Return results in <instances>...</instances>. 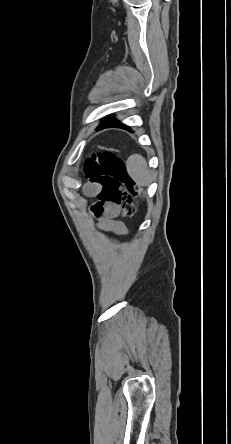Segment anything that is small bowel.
<instances>
[{
	"label": "small bowel",
	"instance_id": "small-bowel-1",
	"mask_svg": "<svg viewBox=\"0 0 231 444\" xmlns=\"http://www.w3.org/2000/svg\"><path fill=\"white\" fill-rule=\"evenodd\" d=\"M97 190H98L97 185L95 184L89 185L86 188V191L90 194L97 192ZM120 211L121 209L118 205L112 203H104L102 209V215H103L102 227L114 231L115 233L118 234L125 233V228L123 224L115 220V218H117L118 215L120 214Z\"/></svg>",
	"mask_w": 231,
	"mask_h": 444
}]
</instances>
